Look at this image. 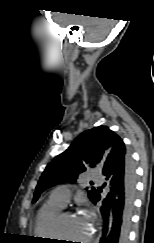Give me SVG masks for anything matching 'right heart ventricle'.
Masks as SVG:
<instances>
[{
	"instance_id": "1",
	"label": "right heart ventricle",
	"mask_w": 154,
	"mask_h": 243,
	"mask_svg": "<svg viewBox=\"0 0 154 243\" xmlns=\"http://www.w3.org/2000/svg\"><path fill=\"white\" fill-rule=\"evenodd\" d=\"M62 208L51 200L40 208L34 224L36 236L46 240L56 239L53 234V222Z\"/></svg>"
}]
</instances>
